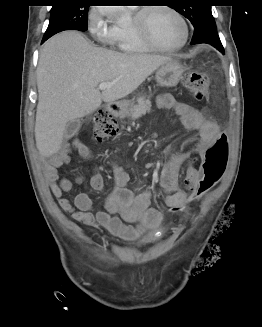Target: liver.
I'll return each instance as SVG.
<instances>
[{
    "mask_svg": "<svg viewBox=\"0 0 262 327\" xmlns=\"http://www.w3.org/2000/svg\"><path fill=\"white\" fill-rule=\"evenodd\" d=\"M171 60L95 47L76 31L49 39L37 67L35 140L40 155L59 151L68 122L93 113L102 101L113 103L128 96ZM100 83L113 85L100 92Z\"/></svg>",
    "mask_w": 262,
    "mask_h": 327,
    "instance_id": "6515ba94",
    "label": "liver"
}]
</instances>
